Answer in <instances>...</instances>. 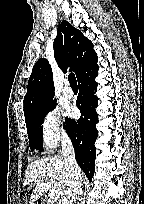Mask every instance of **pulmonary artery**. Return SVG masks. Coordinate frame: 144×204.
Wrapping results in <instances>:
<instances>
[{"instance_id": "pulmonary-artery-1", "label": "pulmonary artery", "mask_w": 144, "mask_h": 204, "mask_svg": "<svg viewBox=\"0 0 144 204\" xmlns=\"http://www.w3.org/2000/svg\"><path fill=\"white\" fill-rule=\"evenodd\" d=\"M63 95L66 98H72L74 93L70 85L66 82L65 87L63 89Z\"/></svg>"}]
</instances>
